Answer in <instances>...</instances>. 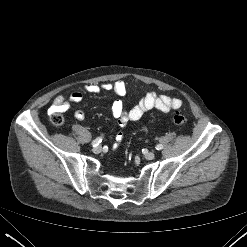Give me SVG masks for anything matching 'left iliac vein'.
Segmentation results:
<instances>
[{"instance_id":"4c4485c4","label":"left iliac vein","mask_w":247,"mask_h":247,"mask_svg":"<svg viewBox=\"0 0 247 247\" xmlns=\"http://www.w3.org/2000/svg\"><path fill=\"white\" fill-rule=\"evenodd\" d=\"M154 157H155V154L153 152L145 153V158L148 160H152V159H154Z\"/></svg>"}]
</instances>
